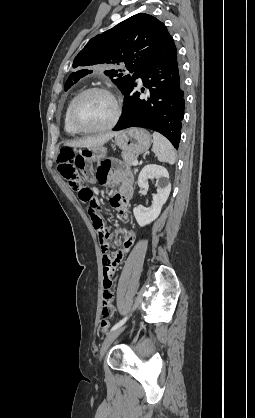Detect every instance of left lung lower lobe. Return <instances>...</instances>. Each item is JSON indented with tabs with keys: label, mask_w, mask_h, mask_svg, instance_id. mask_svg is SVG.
<instances>
[{
	"label": "left lung lower lobe",
	"mask_w": 255,
	"mask_h": 418,
	"mask_svg": "<svg viewBox=\"0 0 255 418\" xmlns=\"http://www.w3.org/2000/svg\"><path fill=\"white\" fill-rule=\"evenodd\" d=\"M139 78L148 88L144 98L135 90ZM183 87L182 67L172 38L134 72L123 93V114L113 130L128 127L152 129L163 134L178 148L185 106Z\"/></svg>",
	"instance_id": "left-lung-lower-lobe-1"
}]
</instances>
